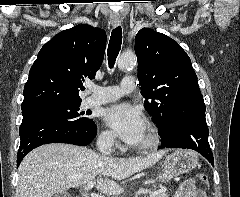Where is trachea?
Returning a JSON list of instances; mask_svg holds the SVG:
<instances>
[{
	"label": "trachea",
	"mask_w": 240,
	"mask_h": 197,
	"mask_svg": "<svg viewBox=\"0 0 240 197\" xmlns=\"http://www.w3.org/2000/svg\"><path fill=\"white\" fill-rule=\"evenodd\" d=\"M122 44V29L120 26L116 27L110 37L108 45V64L112 68L115 64L116 58L119 54Z\"/></svg>",
	"instance_id": "trachea-1"
}]
</instances>
